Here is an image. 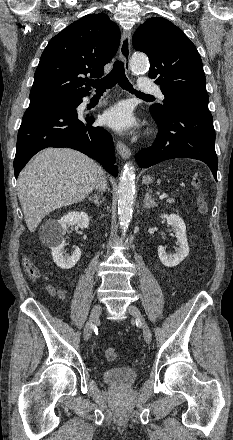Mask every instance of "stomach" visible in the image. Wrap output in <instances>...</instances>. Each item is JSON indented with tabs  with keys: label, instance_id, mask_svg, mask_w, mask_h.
<instances>
[{
	"label": "stomach",
	"instance_id": "1",
	"mask_svg": "<svg viewBox=\"0 0 233 440\" xmlns=\"http://www.w3.org/2000/svg\"><path fill=\"white\" fill-rule=\"evenodd\" d=\"M152 182V178L150 176H144L143 177V183L149 184Z\"/></svg>",
	"mask_w": 233,
	"mask_h": 440
}]
</instances>
